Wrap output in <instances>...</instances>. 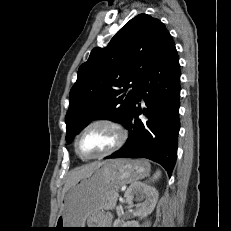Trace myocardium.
Listing matches in <instances>:
<instances>
[{"label":"myocardium","instance_id":"myocardium-1","mask_svg":"<svg viewBox=\"0 0 231 231\" xmlns=\"http://www.w3.org/2000/svg\"><path fill=\"white\" fill-rule=\"evenodd\" d=\"M99 124H104V125H108L110 127H112L116 133H117V141L115 142V144L109 148L108 150L98 154V155H93V156H84L83 154H81V152L79 151V147H78V142L79 139L81 137V135L90 127L94 126V125H99ZM128 137V133L127 130L125 129V127L118 122L115 119H111V118H98L95 120H92L91 122H89L88 124H86L80 131L79 133L76 135L75 137V141H74V149L76 154L83 160H93V159H99V158H103L106 156H109L113 153H115L116 151H118L126 142Z\"/></svg>","mask_w":231,"mask_h":231}]
</instances>
